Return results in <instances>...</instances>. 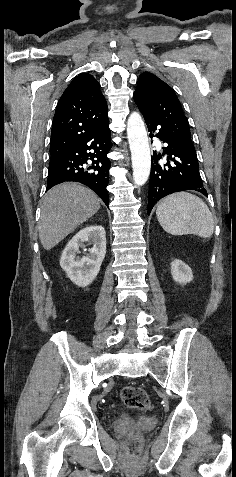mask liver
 Returning <instances> with one entry per match:
<instances>
[{"mask_svg": "<svg viewBox=\"0 0 236 477\" xmlns=\"http://www.w3.org/2000/svg\"><path fill=\"white\" fill-rule=\"evenodd\" d=\"M100 209V199L77 183H63L50 189L41 206L39 238L51 250Z\"/></svg>", "mask_w": 236, "mask_h": 477, "instance_id": "obj_1", "label": "liver"}]
</instances>
